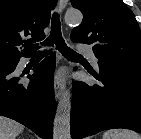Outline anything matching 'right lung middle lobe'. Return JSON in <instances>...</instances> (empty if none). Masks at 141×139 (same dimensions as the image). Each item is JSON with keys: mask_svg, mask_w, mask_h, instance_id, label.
<instances>
[{"mask_svg": "<svg viewBox=\"0 0 141 139\" xmlns=\"http://www.w3.org/2000/svg\"><path fill=\"white\" fill-rule=\"evenodd\" d=\"M17 59H10L5 57H0V67L11 66L16 62Z\"/></svg>", "mask_w": 141, "mask_h": 139, "instance_id": "obj_1", "label": "right lung middle lobe"}]
</instances>
